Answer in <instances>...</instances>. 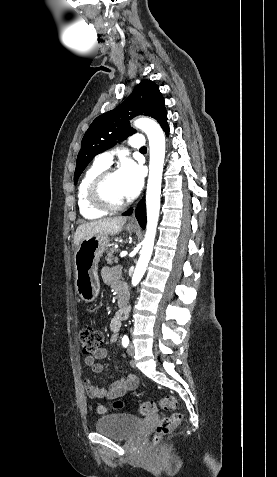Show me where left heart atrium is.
<instances>
[{
    "instance_id": "39dd6f15",
    "label": "left heart atrium",
    "mask_w": 277,
    "mask_h": 477,
    "mask_svg": "<svg viewBox=\"0 0 277 477\" xmlns=\"http://www.w3.org/2000/svg\"><path fill=\"white\" fill-rule=\"evenodd\" d=\"M117 174L124 196L126 198L135 197L143 186L144 172L142 168L132 160H125Z\"/></svg>"
}]
</instances>
